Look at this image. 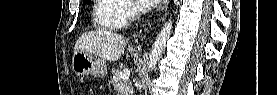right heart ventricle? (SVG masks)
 I'll return each mask as SVG.
<instances>
[{
	"instance_id": "obj_1",
	"label": "right heart ventricle",
	"mask_w": 277,
	"mask_h": 95,
	"mask_svg": "<svg viewBox=\"0 0 277 95\" xmlns=\"http://www.w3.org/2000/svg\"><path fill=\"white\" fill-rule=\"evenodd\" d=\"M124 1L94 0L93 22L95 28L103 31L115 30L125 24Z\"/></svg>"
}]
</instances>
